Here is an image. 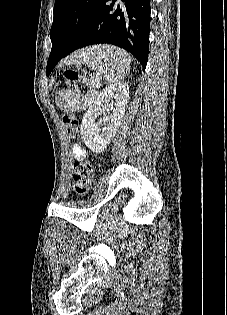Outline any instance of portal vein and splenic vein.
<instances>
[{
    "label": "portal vein and splenic vein",
    "mask_w": 227,
    "mask_h": 315,
    "mask_svg": "<svg viewBox=\"0 0 227 315\" xmlns=\"http://www.w3.org/2000/svg\"><path fill=\"white\" fill-rule=\"evenodd\" d=\"M98 81H97V79L96 80H94V81H92V83H96L97 85H98V83H97Z\"/></svg>",
    "instance_id": "1"
}]
</instances>
